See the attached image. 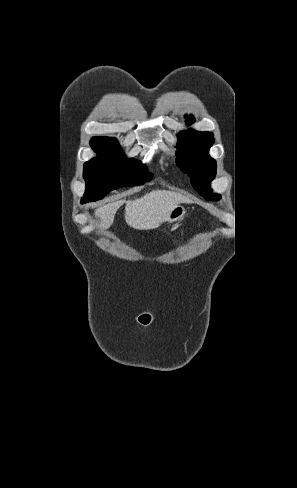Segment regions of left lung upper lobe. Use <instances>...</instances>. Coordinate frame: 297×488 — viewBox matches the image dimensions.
I'll return each mask as SVG.
<instances>
[{"label": "left lung upper lobe", "instance_id": "1", "mask_svg": "<svg viewBox=\"0 0 297 488\" xmlns=\"http://www.w3.org/2000/svg\"><path fill=\"white\" fill-rule=\"evenodd\" d=\"M194 121L191 116L188 123ZM214 143L210 132L183 131L178 134L177 164L191 177V184L207 200H217L220 196L212 193L209 183L216 174V161L208 154Z\"/></svg>", "mask_w": 297, "mask_h": 488}]
</instances>
